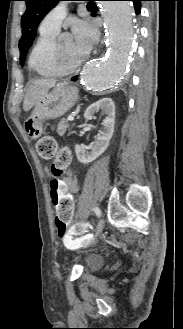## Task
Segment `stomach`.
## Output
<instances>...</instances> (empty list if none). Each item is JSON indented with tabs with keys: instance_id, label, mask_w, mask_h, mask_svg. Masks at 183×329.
I'll use <instances>...</instances> for the list:
<instances>
[{
	"instance_id": "obj_1",
	"label": "stomach",
	"mask_w": 183,
	"mask_h": 329,
	"mask_svg": "<svg viewBox=\"0 0 183 329\" xmlns=\"http://www.w3.org/2000/svg\"><path fill=\"white\" fill-rule=\"evenodd\" d=\"M78 99L75 88L66 83L56 85L35 104L30 117L25 121V131L31 139H37L43 132L45 120L56 119L69 111Z\"/></svg>"
}]
</instances>
